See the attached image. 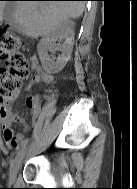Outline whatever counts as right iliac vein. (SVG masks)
I'll use <instances>...</instances> for the list:
<instances>
[{
	"label": "right iliac vein",
	"instance_id": "right-iliac-vein-1",
	"mask_svg": "<svg viewBox=\"0 0 137 189\" xmlns=\"http://www.w3.org/2000/svg\"><path fill=\"white\" fill-rule=\"evenodd\" d=\"M27 151H28L27 149H24L15 156V158L11 164L10 171H9V180L11 182L15 181L18 171L21 167L22 160H23L24 156L26 155Z\"/></svg>",
	"mask_w": 137,
	"mask_h": 189
}]
</instances>
